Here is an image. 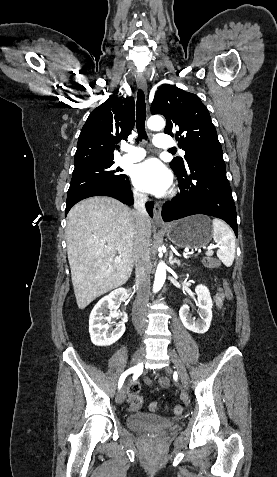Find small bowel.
Returning a JSON list of instances; mask_svg holds the SVG:
<instances>
[{"label": "small bowel", "mask_w": 277, "mask_h": 477, "mask_svg": "<svg viewBox=\"0 0 277 477\" xmlns=\"http://www.w3.org/2000/svg\"><path fill=\"white\" fill-rule=\"evenodd\" d=\"M224 299H225L224 291L221 290V289H218L217 292H216V294H215V302H216V305H217L218 308L221 307L222 302H223ZM145 382H146L147 384H150V380H149V379H145ZM160 382H161V384H163V385H166V384H167V380L164 379V378H161V379H160ZM132 386H134L137 390L139 389V386H138L137 384H135V383L132 384Z\"/></svg>", "instance_id": "small-bowel-1"}]
</instances>
